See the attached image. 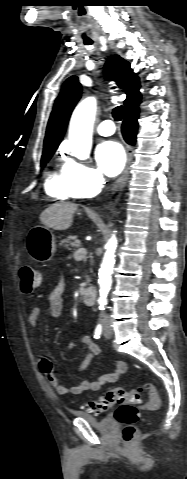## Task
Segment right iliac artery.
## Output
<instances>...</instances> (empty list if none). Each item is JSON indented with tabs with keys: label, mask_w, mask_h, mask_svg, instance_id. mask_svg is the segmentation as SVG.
I'll return each mask as SVG.
<instances>
[{
	"label": "right iliac artery",
	"mask_w": 187,
	"mask_h": 479,
	"mask_svg": "<svg viewBox=\"0 0 187 479\" xmlns=\"http://www.w3.org/2000/svg\"><path fill=\"white\" fill-rule=\"evenodd\" d=\"M101 334H102V326L101 324H98L94 331V338L96 339L100 338Z\"/></svg>",
	"instance_id": "right-iliac-artery-1"
}]
</instances>
